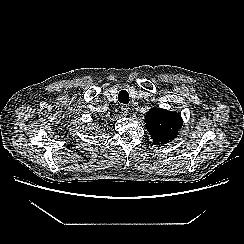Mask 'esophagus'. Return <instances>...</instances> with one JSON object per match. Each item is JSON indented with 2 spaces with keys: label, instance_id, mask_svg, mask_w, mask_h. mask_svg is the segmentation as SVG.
<instances>
[{
  "label": "esophagus",
  "instance_id": "34e87169",
  "mask_svg": "<svg viewBox=\"0 0 244 244\" xmlns=\"http://www.w3.org/2000/svg\"><path fill=\"white\" fill-rule=\"evenodd\" d=\"M122 115L127 116L129 113V107L126 104H123L120 108Z\"/></svg>",
  "mask_w": 244,
  "mask_h": 244
}]
</instances>
